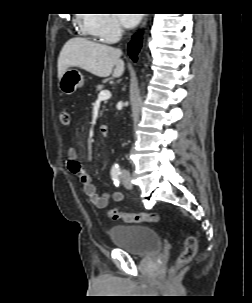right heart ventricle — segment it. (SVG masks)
<instances>
[{"label": "right heart ventricle", "instance_id": "1", "mask_svg": "<svg viewBox=\"0 0 252 303\" xmlns=\"http://www.w3.org/2000/svg\"><path fill=\"white\" fill-rule=\"evenodd\" d=\"M86 16L87 15H82V17H81V19L82 20H84V28L86 29V31L89 33V34H91V35H93V36H96L94 33H92L91 31H89L87 28H86V26H85V19H86Z\"/></svg>", "mask_w": 252, "mask_h": 303}]
</instances>
